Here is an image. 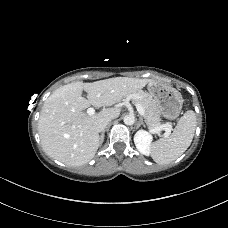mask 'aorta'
<instances>
[{
  "mask_svg": "<svg viewBox=\"0 0 228 228\" xmlns=\"http://www.w3.org/2000/svg\"><path fill=\"white\" fill-rule=\"evenodd\" d=\"M123 121L126 125H133L135 123V118L133 115H126Z\"/></svg>",
  "mask_w": 228,
  "mask_h": 228,
  "instance_id": "762f6f07",
  "label": "aorta"
}]
</instances>
